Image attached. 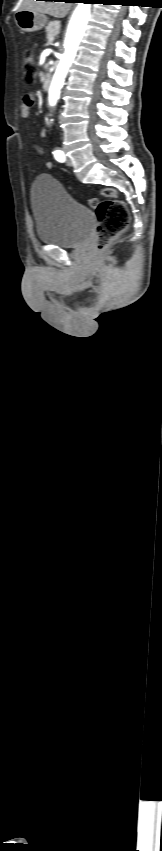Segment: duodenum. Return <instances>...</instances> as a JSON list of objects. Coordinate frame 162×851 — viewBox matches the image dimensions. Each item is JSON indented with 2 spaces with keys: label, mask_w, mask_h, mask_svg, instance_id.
Instances as JSON below:
<instances>
[{
  "label": "duodenum",
  "mask_w": 162,
  "mask_h": 851,
  "mask_svg": "<svg viewBox=\"0 0 162 851\" xmlns=\"http://www.w3.org/2000/svg\"><path fill=\"white\" fill-rule=\"evenodd\" d=\"M50 83H51V76H50V74H49V73H46V74L43 76L42 81H41L42 88H43L44 90H47V89L49 88V86H50Z\"/></svg>",
  "instance_id": "1"
}]
</instances>
